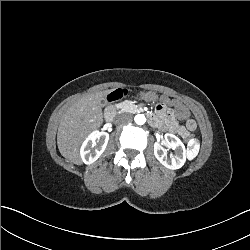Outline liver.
Here are the masks:
<instances>
[{
    "label": "liver",
    "mask_w": 250,
    "mask_h": 250,
    "mask_svg": "<svg viewBox=\"0 0 250 250\" xmlns=\"http://www.w3.org/2000/svg\"><path fill=\"white\" fill-rule=\"evenodd\" d=\"M110 91L88 94L78 99L64 114L57 133L60 153L70 162L81 164L78 153L84 136L102 121L101 99Z\"/></svg>",
    "instance_id": "6515ba94"
}]
</instances>
